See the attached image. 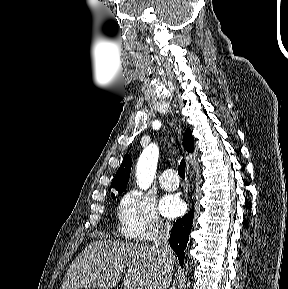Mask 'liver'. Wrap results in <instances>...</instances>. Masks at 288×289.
Segmentation results:
<instances>
[{
  "mask_svg": "<svg viewBox=\"0 0 288 289\" xmlns=\"http://www.w3.org/2000/svg\"><path fill=\"white\" fill-rule=\"evenodd\" d=\"M172 261L174 264V254ZM125 269L124 289H167L170 282L171 274L165 276L153 246L99 240L86 246L71 263L60 289L114 288Z\"/></svg>",
  "mask_w": 288,
  "mask_h": 289,
  "instance_id": "6515ba94",
  "label": "liver"
}]
</instances>
